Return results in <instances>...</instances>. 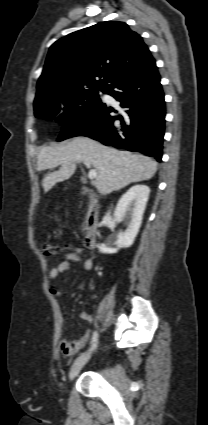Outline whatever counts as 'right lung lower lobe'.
<instances>
[{
  "label": "right lung lower lobe",
  "mask_w": 208,
  "mask_h": 425,
  "mask_svg": "<svg viewBox=\"0 0 208 425\" xmlns=\"http://www.w3.org/2000/svg\"><path fill=\"white\" fill-rule=\"evenodd\" d=\"M105 93L125 109L119 112L101 103L65 122L58 141L87 136L107 146L155 157L160 162L165 101L160 75L151 54L120 71Z\"/></svg>",
  "instance_id": "obj_1"
}]
</instances>
